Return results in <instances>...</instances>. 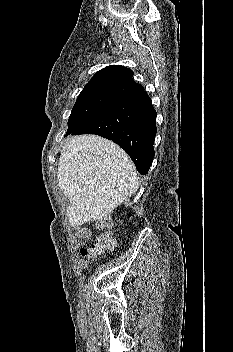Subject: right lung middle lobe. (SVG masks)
I'll return each mask as SVG.
<instances>
[{
	"label": "right lung middle lobe",
	"mask_w": 233,
	"mask_h": 352,
	"mask_svg": "<svg viewBox=\"0 0 233 352\" xmlns=\"http://www.w3.org/2000/svg\"><path fill=\"white\" fill-rule=\"evenodd\" d=\"M133 88L96 86L84 88L72 109L67 132H72L109 107L137 94Z\"/></svg>",
	"instance_id": "1"
}]
</instances>
